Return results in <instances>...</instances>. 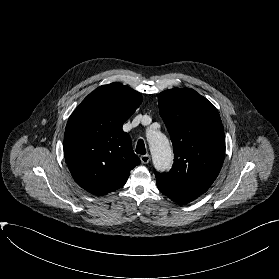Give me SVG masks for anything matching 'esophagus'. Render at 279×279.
Wrapping results in <instances>:
<instances>
[{"instance_id": "esophagus-1", "label": "esophagus", "mask_w": 279, "mask_h": 279, "mask_svg": "<svg viewBox=\"0 0 279 279\" xmlns=\"http://www.w3.org/2000/svg\"><path fill=\"white\" fill-rule=\"evenodd\" d=\"M140 160L143 164H147L150 161V155H148V154L142 155L140 157Z\"/></svg>"}]
</instances>
